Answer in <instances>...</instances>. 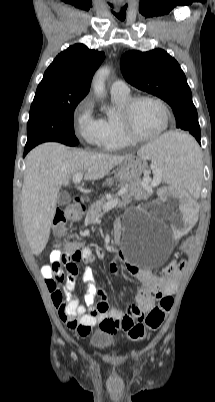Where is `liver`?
<instances>
[{"mask_svg":"<svg viewBox=\"0 0 215 402\" xmlns=\"http://www.w3.org/2000/svg\"><path fill=\"white\" fill-rule=\"evenodd\" d=\"M128 157L69 150L55 142L41 144L29 152L21 211L24 232L35 255H39L48 242L61 186L69 185L71 177L80 172H85L87 181L101 179Z\"/></svg>","mask_w":215,"mask_h":402,"instance_id":"6515ba94","label":"liver"}]
</instances>
